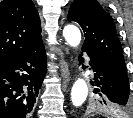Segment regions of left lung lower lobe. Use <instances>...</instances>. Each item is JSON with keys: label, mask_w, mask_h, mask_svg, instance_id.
Wrapping results in <instances>:
<instances>
[{"label": "left lung lower lobe", "mask_w": 133, "mask_h": 118, "mask_svg": "<svg viewBox=\"0 0 133 118\" xmlns=\"http://www.w3.org/2000/svg\"><path fill=\"white\" fill-rule=\"evenodd\" d=\"M82 51L90 57L89 64L95 72L94 93L117 109L127 108L130 94L127 72L96 50L82 48Z\"/></svg>", "instance_id": "1"}]
</instances>
